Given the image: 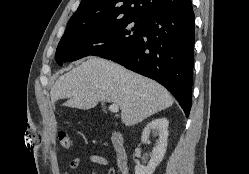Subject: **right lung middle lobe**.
Wrapping results in <instances>:
<instances>
[{
  "label": "right lung middle lobe",
  "instance_id": "obj_1",
  "mask_svg": "<svg viewBox=\"0 0 249 174\" xmlns=\"http://www.w3.org/2000/svg\"><path fill=\"white\" fill-rule=\"evenodd\" d=\"M145 20L122 17L116 20L66 28L57 50L59 65L85 56L120 52L135 43L143 33Z\"/></svg>",
  "mask_w": 249,
  "mask_h": 174
}]
</instances>
